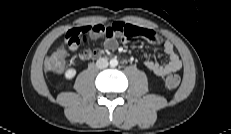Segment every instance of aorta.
Here are the masks:
<instances>
[{"instance_id":"762f6f07","label":"aorta","mask_w":231,"mask_h":134,"mask_svg":"<svg viewBox=\"0 0 231 134\" xmlns=\"http://www.w3.org/2000/svg\"><path fill=\"white\" fill-rule=\"evenodd\" d=\"M110 65L112 66V67H115V66H117L118 65V61H117V59H111L110 60Z\"/></svg>"}]
</instances>
